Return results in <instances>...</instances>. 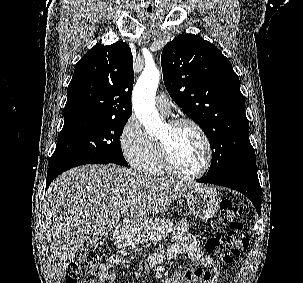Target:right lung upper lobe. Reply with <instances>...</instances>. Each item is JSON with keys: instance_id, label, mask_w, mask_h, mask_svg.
Returning a JSON list of instances; mask_svg holds the SVG:
<instances>
[{"instance_id": "obj_1", "label": "right lung upper lobe", "mask_w": 303, "mask_h": 283, "mask_svg": "<svg viewBox=\"0 0 303 283\" xmlns=\"http://www.w3.org/2000/svg\"><path fill=\"white\" fill-rule=\"evenodd\" d=\"M133 82L129 46L120 41L107 46L96 44L76 64L67 90L64 118L84 114L129 118Z\"/></svg>"}]
</instances>
